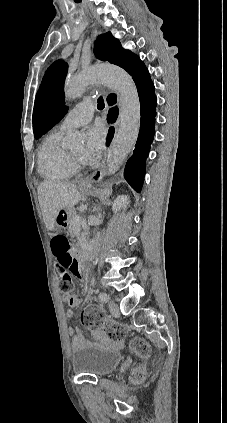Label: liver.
Returning a JSON list of instances; mask_svg holds the SVG:
<instances>
[{
    "mask_svg": "<svg viewBox=\"0 0 227 423\" xmlns=\"http://www.w3.org/2000/svg\"><path fill=\"white\" fill-rule=\"evenodd\" d=\"M38 190V200L47 229H55L56 217L61 208H73L81 200L75 184L44 180Z\"/></svg>",
    "mask_w": 227,
    "mask_h": 423,
    "instance_id": "obj_1",
    "label": "liver"
}]
</instances>
